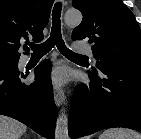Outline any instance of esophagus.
<instances>
[{
	"label": "esophagus",
	"instance_id": "esophagus-1",
	"mask_svg": "<svg viewBox=\"0 0 141 139\" xmlns=\"http://www.w3.org/2000/svg\"><path fill=\"white\" fill-rule=\"evenodd\" d=\"M53 94H54L55 104L58 107H60L62 105V103L64 102V100H65L64 90L62 88L56 86L54 88Z\"/></svg>",
	"mask_w": 141,
	"mask_h": 139
}]
</instances>
